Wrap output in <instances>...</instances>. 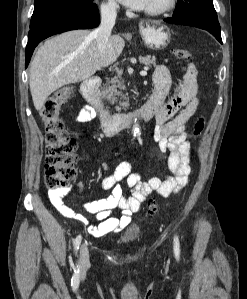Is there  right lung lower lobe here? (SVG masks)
<instances>
[{
  "label": "right lung lower lobe",
  "mask_w": 247,
  "mask_h": 299,
  "mask_svg": "<svg viewBox=\"0 0 247 299\" xmlns=\"http://www.w3.org/2000/svg\"><path fill=\"white\" fill-rule=\"evenodd\" d=\"M98 25V8L95 3H92L65 10L30 27L26 46L25 67L30 62L34 48L47 37L74 29L94 28Z\"/></svg>",
  "instance_id": "1"
}]
</instances>
